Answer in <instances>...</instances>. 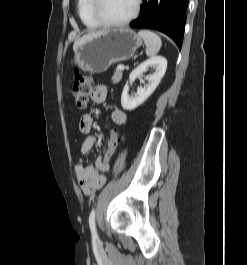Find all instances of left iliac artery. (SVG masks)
Masks as SVG:
<instances>
[{
    "instance_id": "left-iliac-artery-1",
    "label": "left iliac artery",
    "mask_w": 247,
    "mask_h": 265,
    "mask_svg": "<svg viewBox=\"0 0 247 265\" xmlns=\"http://www.w3.org/2000/svg\"><path fill=\"white\" fill-rule=\"evenodd\" d=\"M89 226L93 238H97L96 227H95V209L93 208L89 216Z\"/></svg>"
}]
</instances>
